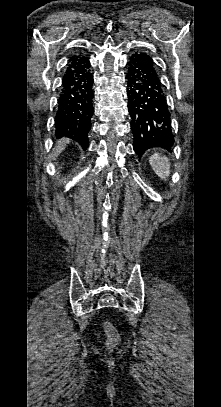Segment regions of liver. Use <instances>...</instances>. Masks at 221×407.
Segmentation results:
<instances>
[{"instance_id": "obj_1", "label": "liver", "mask_w": 221, "mask_h": 407, "mask_svg": "<svg viewBox=\"0 0 221 407\" xmlns=\"http://www.w3.org/2000/svg\"><path fill=\"white\" fill-rule=\"evenodd\" d=\"M68 143L69 140L66 138L58 140L53 150V158L57 157L65 149Z\"/></svg>"}]
</instances>
